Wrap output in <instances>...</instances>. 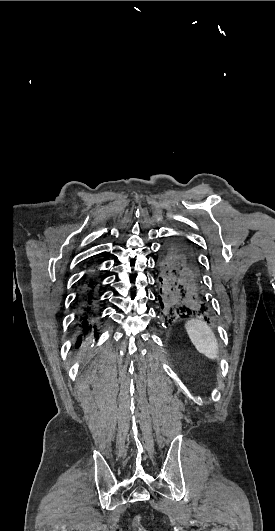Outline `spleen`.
Returning a JSON list of instances; mask_svg holds the SVG:
<instances>
[{
	"instance_id": "3e777b00",
	"label": "spleen",
	"mask_w": 275,
	"mask_h": 531,
	"mask_svg": "<svg viewBox=\"0 0 275 531\" xmlns=\"http://www.w3.org/2000/svg\"><path fill=\"white\" fill-rule=\"evenodd\" d=\"M185 329L191 343H193L199 353H202L208 359H217L219 349L217 339L211 327L205 321L191 319V321H187Z\"/></svg>"
}]
</instances>
